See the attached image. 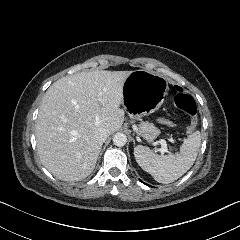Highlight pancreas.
<instances>
[{
  "label": "pancreas",
  "instance_id": "pancreas-1",
  "mask_svg": "<svg viewBox=\"0 0 240 240\" xmlns=\"http://www.w3.org/2000/svg\"><path fill=\"white\" fill-rule=\"evenodd\" d=\"M137 134L147 141H152L160 134V130L153 123L142 121L138 125Z\"/></svg>",
  "mask_w": 240,
  "mask_h": 240
}]
</instances>
